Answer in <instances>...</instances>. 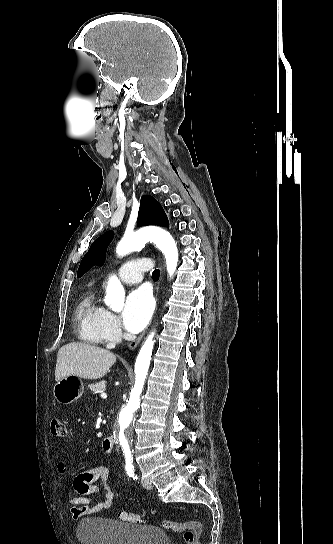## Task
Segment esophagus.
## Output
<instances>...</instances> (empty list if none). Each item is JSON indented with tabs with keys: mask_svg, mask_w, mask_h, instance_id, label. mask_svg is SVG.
Here are the masks:
<instances>
[{
	"mask_svg": "<svg viewBox=\"0 0 333 544\" xmlns=\"http://www.w3.org/2000/svg\"><path fill=\"white\" fill-rule=\"evenodd\" d=\"M162 271V269H161ZM157 296H158V286L156 287V300H157ZM147 330V329H146ZM146 330L143 331V333L138 336L134 341H132L129 345H128V350H133L137 347V345L140 343V341L142 340L143 336L145 335L146 333Z\"/></svg>",
	"mask_w": 333,
	"mask_h": 544,
	"instance_id": "34e87169",
	"label": "esophagus"
}]
</instances>
